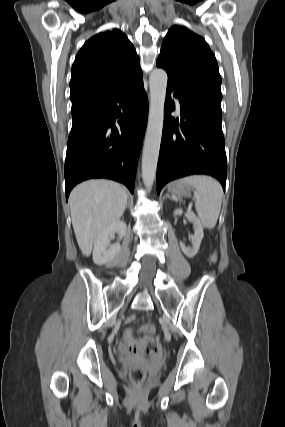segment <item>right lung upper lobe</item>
<instances>
[{
    "mask_svg": "<svg viewBox=\"0 0 285 427\" xmlns=\"http://www.w3.org/2000/svg\"><path fill=\"white\" fill-rule=\"evenodd\" d=\"M142 77L140 61L128 38L118 29L90 38L72 66V110L97 100Z\"/></svg>",
    "mask_w": 285,
    "mask_h": 427,
    "instance_id": "obj_1",
    "label": "right lung upper lobe"
}]
</instances>
